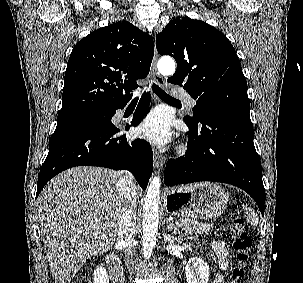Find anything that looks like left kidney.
Segmentation results:
<instances>
[{"label": "left kidney", "instance_id": "1", "mask_svg": "<svg viewBox=\"0 0 303 283\" xmlns=\"http://www.w3.org/2000/svg\"><path fill=\"white\" fill-rule=\"evenodd\" d=\"M187 283H208L209 265L200 258H191L185 268Z\"/></svg>", "mask_w": 303, "mask_h": 283}]
</instances>
